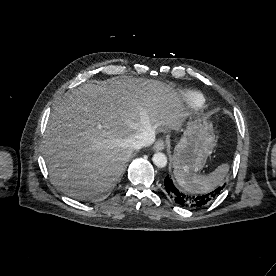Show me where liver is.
Listing matches in <instances>:
<instances>
[{
    "label": "liver",
    "instance_id": "liver-1",
    "mask_svg": "<svg viewBox=\"0 0 276 276\" xmlns=\"http://www.w3.org/2000/svg\"><path fill=\"white\" fill-rule=\"evenodd\" d=\"M187 113L170 85L141 78L83 84L53 106L43 153L53 184L79 200L112 189L133 148L128 139L148 130H176Z\"/></svg>",
    "mask_w": 276,
    "mask_h": 276
}]
</instances>
